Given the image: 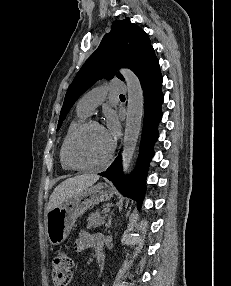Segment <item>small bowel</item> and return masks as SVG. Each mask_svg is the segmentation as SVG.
I'll use <instances>...</instances> for the list:
<instances>
[{"label": "small bowel", "instance_id": "c3829d8e", "mask_svg": "<svg viewBox=\"0 0 231 286\" xmlns=\"http://www.w3.org/2000/svg\"><path fill=\"white\" fill-rule=\"evenodd\" d=\"M102 241V236L99 234H91L87 231H81L79 237L76 239L74 249L77 253H83L87 249L97 248Z\"/></svg>", "mask_w": 231, "mask_h": 286}]
</instances>
